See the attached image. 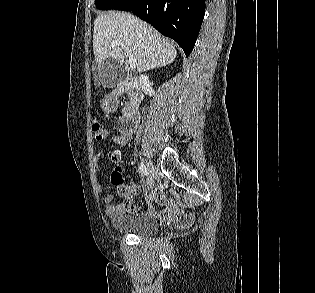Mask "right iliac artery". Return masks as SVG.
<instances>
[{
    "mask_svg": "<svg viewBox=\"0 0 315 293\" xmlns=\"http://www.w3.org/2000/svg\"><path fill=\"white\" fill-rule=\"evenodd\" d=\"M140 170H141L142 174H144V175H146V176L149 175V172H148L147 167H146L142 162H141V164H140Z\"/></svg>",
    "mask_w": 315,
    "mask_h": 293,
    "instance_id": "obj_1",
    "label": "right iliac artery"
}]
</instances>
